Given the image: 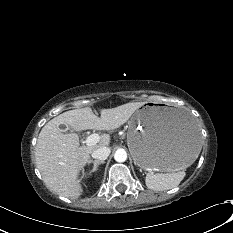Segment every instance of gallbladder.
Returning a JSON list of instances; mask_svg holds the SVG:
<instances>
[{
	"label": "gallbladder",
	"instance_id": "1",
	"mask_svg": "<svg viewBox=\"0 0 233 233\" xmlns=\"http://www.w3.org/2000/svg\"><path fill=\"white\" fill-rule=\"evenodd\" d=\"M63 131H66V130H68L69 128H68V126L67 125H60L59 126Z\"/></svg>",
	"mask_w": 233,
	"mask_h": 233
}]
</instances>
